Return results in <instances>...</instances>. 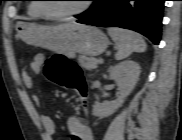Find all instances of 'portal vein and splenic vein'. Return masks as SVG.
<instances>
[{
	"label": "portal vein and splenic vein",
	"mask_w": 182,
	"mask_h": 140,
	"mask_svg": "<svg viewBox=\"0 0 182 140\" xmlns=\"http://www.w3.org/2000/svg\"><path fill=\"white\" fill-rule=\"evenodd\" d=\"M98 63H103V59L100 58V59L98 60Z\"/></svg>",
	"instance_id": "portal-vein-and-splenic-vein-1"
}]
</instances>
